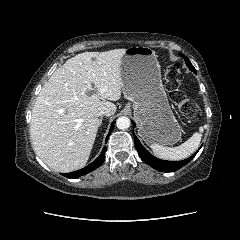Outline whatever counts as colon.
I'll return each instance as SVG.
<instances>
[{
  "label": "colon",
  "instance_id": "1",
  "mask_svg": "<svg viewBox=\"0 0 240 240\" xmlns=\"http://www.w3.org/2000/svg\"><path fill=\"white\" fill-rule=\"evenodd\" d=\"M181 83L182 73L180 65L175 63L167 66L165 70V86L172 102L183 116L193 120L198 119L201 114L200 109L181 90Z\"/></svg>",
  "mask_w": 240,
  "mask_h": 240
}]
</instances>
